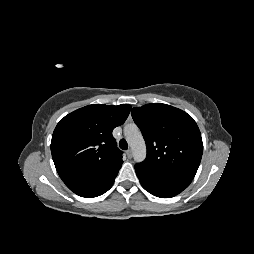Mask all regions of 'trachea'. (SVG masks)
<instances>
[{
  "label": "trachea",
  "instance_id": "3493384b",
  "mask_svg": "<svg viewBox=\"0 0 254 254\" xmlns=\"http://www.w3.org/2000/svg\"><path fill=\"white\" fill-rule=\"evenodd\" d=\"M119 147L122 150H127L128 149L127 141L125 139H121L120 142H119Z\"/></svg>",
  "mask_w": 254,
  "mask_h": 254
}]
</instances>
